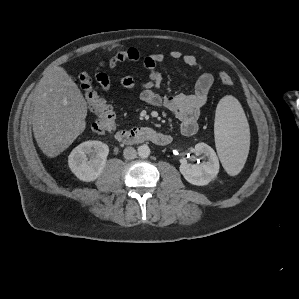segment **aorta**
<instances>
[{"instance_id":"obj_1","label":"aorta","mask_w":299,"mask_h":299,"mask_svg":"<svg viewBox=\"0 0 299 299\" xmlns=\"http://www.w3.org/2000/svg\"><path fill=\"white\" fill-rule=\"evenodd\" d=\"M137 153L141 158H147L150 155V148L148 145H141L137 149Z\"/></svg>"}]
</instances>
